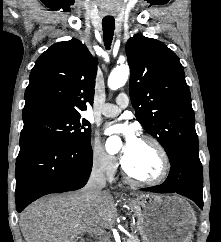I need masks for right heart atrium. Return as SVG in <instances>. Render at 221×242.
I'll list each match as a JSON object with an SVG mask.
<instances>
[{
  "instance_id": "1",
  "label": "right heart atrium",
  "mask_w": 221,
  "mask_h": 242,
  "mask_svg": "<svg viewBox=\"0 0 221 242\" xmlns=\"http://www.w3.org/2000/svg\"><path fill=\"white\" fill-rule=\"evenodd\" d=\"M90 160L96 171L108 177L113 176L119 167L117 157L108 153L97 140L91 144Z\"/></svg>"
}]
</instances>
